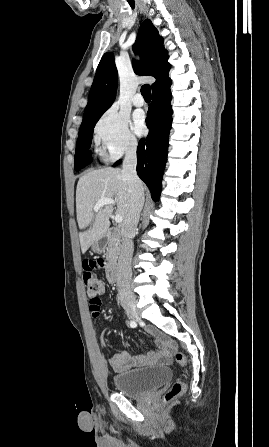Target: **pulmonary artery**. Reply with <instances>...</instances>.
<instances>
[{"label":"pulmonary artery","instance_id":"pulmonary-artery-1","mask_svg":"<svg viewBox=\"0 0 269 447\" xmlns=\"http://www.w3.org/2000/svg\"><path fill=\"white\" fill-rule=\"evenodd\" d=\"M132 101H133V104H134L136 107H141V106H143L144 103H145L143 96H142L141 94H139V93L134 95Z\"/></svg>","mask_w":269,"mask_h":447}]
</instances>
